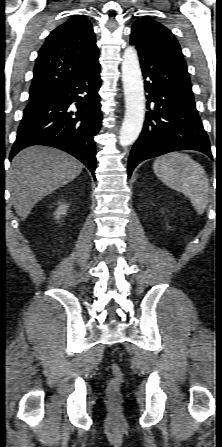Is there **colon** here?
I'll use <instances>...</instances> for the list:
<instances>
[{
    "mask_svg": "<svg viewBox=\"0 0 222 447\" xmlns=\"http://www.w3.org/2000/svg\"><path fill=\"white\" fill-rule=\"evenodd\" d=\"M112 379L107 386V397L111 401H118L121 396V384L123 380V374L118 365L113 364L111 366Z\"/></svg>",
    "mask_w": 222,
    "mask_h": 447,
    "instance_id": "5ec220e1",
    "label": "colon"
}]
</instances>
